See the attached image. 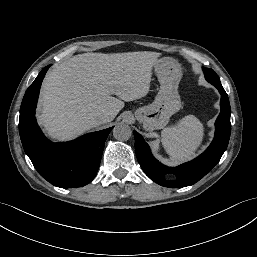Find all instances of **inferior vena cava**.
Returning <instances> with one entry per match:
<instances>
[{"instance_id": "1", "label": "inferior vena cava", "mask_w": 257, "mask_h": 257, "mask_svg": "<svg viewBox=\"0 0 257 257\" xmlns=\"http://www.w3.org/2000/svg\"><path fill=\"white\" fill-rule=\"evenodd\" d=\"M110 119H111V115L109 113H105V114L98 115L96 120L99 124H103L110 121Z\"/></svg>"}]
</instances>
